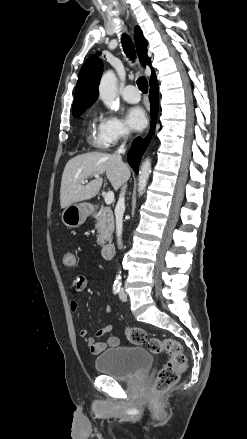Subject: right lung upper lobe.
I'll use <instances>...</instances> for the list:
<instances>
[{
	"mask_svg": "<svg viewBox=\"0 0 247 439\" xmlns=\"http://www.w3.org/2000/svg\"><path fill=\"white\" fill-rule=\"evenodd\" d=\"M135 42L137 52L142 65L149 63L147 56V41L139 27L135 28ZM152 69V68H151ZM103 71V63L98 57H90L86 60L79 73L75 89L73 103V114L90 107L98 97V84ZM156 80L155 72L152 69L150 83Z\"/></svg>",
	"mask_w": 247,
	"mask_h": 439,
	"instance_id": "right-lung-upper-lobe-1",
	"label": "right lung upper lobe"
}]
</instances>
